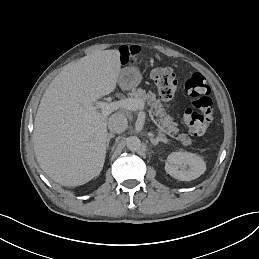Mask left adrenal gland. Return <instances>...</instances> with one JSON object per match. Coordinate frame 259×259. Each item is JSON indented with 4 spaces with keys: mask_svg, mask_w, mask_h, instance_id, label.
I'll return each mask as SVG.
<instances>
[{
    "mask_svg": "<svg viewBox=\"0 0 259 259\" xmlns=\"http://www.w3.org/2000/svg\"><path fill=\"white\" fill-rule=\"evenodd\" d=\"M150 142L156 146L158 143L162 142L164 144L168 143V139L167 138H162V137H157V138H150Z\"/></svg>",
    "mask_w": 259,
    "mask_h": 259,
    "instance_id": "1",
    "label": "left adrenal gland"
}]
</instances>
